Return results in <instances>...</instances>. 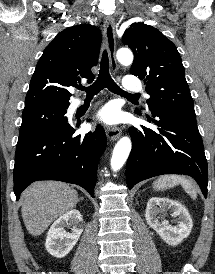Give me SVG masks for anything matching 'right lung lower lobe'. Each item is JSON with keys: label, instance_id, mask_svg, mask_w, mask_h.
<instances>
[{"label": "right lung lower lobe", "instance_id": "right-lung-lower-lobe-1", "mask_svg": "<svg viewBox=\"0 0 215 274\" xmlns=\"http://www.w3.org/2000/svg\"><path fill=\"white\" fill-rule=\"evenodd\" d=\"M67 121L37 133L17 145L14 166V193L37 180H59L77 184L94 197L97 166L106 147L102 126L85 135H74Z\"/></svg>", "mask_w": 215, "mask_h": 274}]
</instances>
